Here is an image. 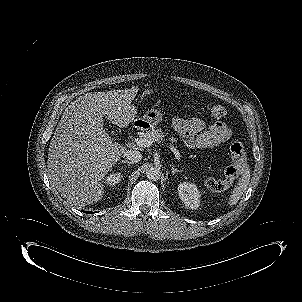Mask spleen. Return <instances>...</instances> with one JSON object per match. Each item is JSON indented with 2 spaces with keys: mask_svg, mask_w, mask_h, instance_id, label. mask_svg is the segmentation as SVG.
I'll list each match as a JSON object with an SVG mask.
<instances>
[{
  "mask_svg": "<svg viewBox=\"0 0 302 302\" xmlns=\"http://www.w3.org/2000/svg\"><path fill=\"white\" fill-rule=\"evenodd\" d=\"M242 177L238 182V185L233 189L229 198V205L236 204L241 198L242 194L247 188L250 179V170L247 165H245L242 169Z\"/></svg>",
  "mask_w": 302,
  "mask_h": 302,
  "instance_id": "3e777b00",
  "label": "spleen"
}]
</instances>
